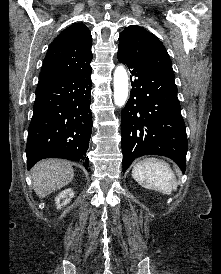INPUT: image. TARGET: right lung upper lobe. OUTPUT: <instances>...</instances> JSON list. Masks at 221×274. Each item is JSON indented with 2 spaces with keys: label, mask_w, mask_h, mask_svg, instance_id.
Listing matches in <instances>:
<instances>
[{
  "label": "right lung upper lobe",
  "mask_w": 221,
  "mask_h": 274,
  "mask_svg": "<svg viewBox=\"0 0 221 274\" xmlns=\"http://www.w3.org/2000/svg\"><path fill=\"white\" fill-rule=\"evenodd\" d=\"M92 36L89 29L76 23L62 31L48 48L38 88L91 69Z\"/></svg>",
  "instance_id": "obj_1"
}]
</instances>
